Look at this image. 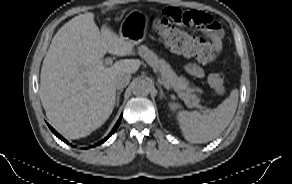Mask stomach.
I'll use <instances>...</instances> for the list:
<instances>
[{"label":"stomach","instance_id":"obj_1","mask_svg":"<svg viewBox=\"0 0 292 184\" xmlns=\"http://www.w3.org/2000/svg\"><path fill=\"white\" fill-rule=\"evenodd\" d=\"M147 18L139 10L130 11L124 18L120 27V36L133 46L145 39Z\"/></svg>","mask_w":292,"mask_h":184}]
</instances>
